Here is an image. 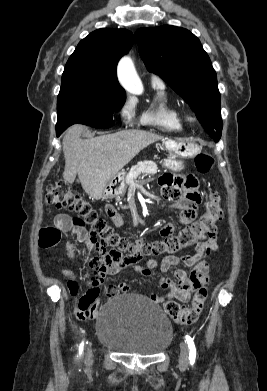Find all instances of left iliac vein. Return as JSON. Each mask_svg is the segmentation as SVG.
<instances>
[{
	"instance_id": "obj_1",
	"label": "left iliac vein",
	"mask_w": 267,
	"mask_h": 391,
	"mask_svg": "<svg viewBox=\"0 0 267 391\" xmlns=\"http://www.w3.org/2000/svg\"><path fill=\"white\" fill-rule=\"evenodd\" d=\"M188 356H189V348L185 341H182L180 344V357H179V365L182 369H185L188 366Z\"/></svg>"
}]
</instances>
